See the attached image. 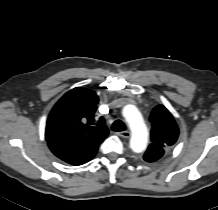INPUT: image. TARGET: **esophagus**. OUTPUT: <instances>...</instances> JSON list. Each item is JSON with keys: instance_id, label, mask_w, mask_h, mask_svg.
Segmentation results:
<instances>
[{"instance_id": "34e87169", "label": "esophagus", "mask_w": 218, "mask_h": 210, "mask_svg": "<svg viewBox=\"0 0 218 210\" xmlns=\"http://www.w3.org/2000/svg\"><path fill=\"white\" fill-rule=\"evenodd\" d=\"M117 135L120 137H123V138H129L130 132L129 131H122V132H118Z\"/></svg>"}]
</instances>
